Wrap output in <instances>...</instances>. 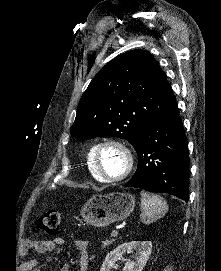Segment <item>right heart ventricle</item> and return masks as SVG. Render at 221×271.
<instances>
[{"mask_svg":"<svg viewBox=\"0 0 221 271\" xmlns=\"http://www.w3.org/2000/svg\"><path fill=\"white\" fill-rule=\"evenodd\" d=\"M92 144V143H90ZM87 153L89 154L87 157V162L89 163V167L87 168L88 176H91V179H96V183H108V178H102V174H99L98 168L100 167V162H98L97 158H91L90 155L92 152L96 151L95 147H89Z\"/></svg>","mask_w":221,"mask_h":271,"instance_id":"1","label":"right heart ventricle"}]
</instances>
